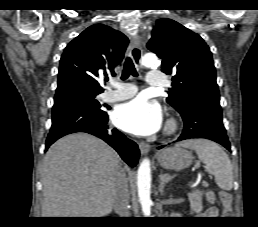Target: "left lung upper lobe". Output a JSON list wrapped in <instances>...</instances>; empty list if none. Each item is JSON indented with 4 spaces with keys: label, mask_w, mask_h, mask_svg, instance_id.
Here are the masks:
<instances>
[{
    "label": "left lung upper lobe",
    "mask_w": 258,
    "mask_h": 227,
    "mask_svg": "<svg viewBox=\"0 0 258 227\" xmlns=\"http://www.w3.org/2000/svg\"><path fill=\"white\" fill-rule=\"evenodd\" d=\"M147 47L162 59V71L173 73L166 101L181 115L201 103L220 104L211 51L204 40L178 22H156Z\"/></svg>",
    "instance_id": "5c2ea615"
}]
</instances>
